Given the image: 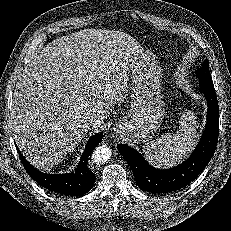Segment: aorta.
<instances>
[{"instance_id": "1", "label": "aorta", "mask_w": 231, "mask_h": 231, "mask_svg": "<svg viewBox=\"0 0 231 231\" xmlns=\"http://www.w3.org/2000/svg\"><path fill=\"white\" fill-rule=\"evenodd\" d=\"M111 157V149L106 146H98L96 147L91 155V159L95 164H105Z\"/></svg>"}]
</instances>
